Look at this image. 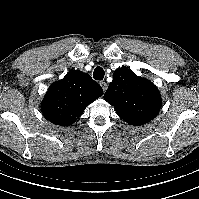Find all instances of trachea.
<instances>
[{
    "mask_svg": "<svg viewBox=\"0 0 199 199\" xmlns=\"http://www.w3.org/2000/svg\"><path fill=\"white\" fill-rule=\"evenodd\" d=\"M104 70L103 68H101L100 66H97L95 69H94V72H93V78L95 80H103L104 78Z\"/></svg>",
    "mask_w": 199,
    "mask_h": 199,
    "instance_id": "3493384b",
    "label": "trachea"
}]
</instances>
